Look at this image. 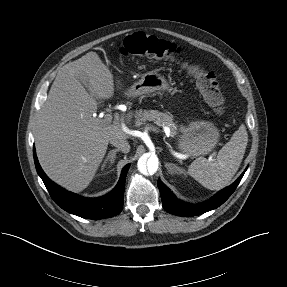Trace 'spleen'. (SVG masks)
<instances>
[{"label":"spleen","instance_id":"spleen-1","mask_svg":"<svg viewBox=\"0 0 287 287\" xmlns=\"http://www.w3.org/2000/svg\"><path fill=\"white\" fill-rule=\"evenodd\" d=\"M248 143L246 127L242 124L218 152L214 162L199 157L188 168V174L210 190H220L229 185L238 171Z\"/></svg>","mask_w":287,"mask_h":287}]
</instances>
